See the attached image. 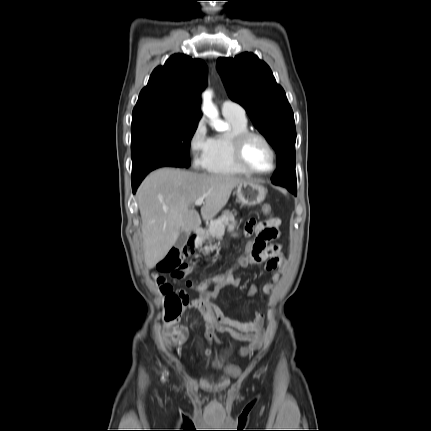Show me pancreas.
Segmentation results:
<instances>
[{"instance_id":"obj_1","label":"pancreas","mask_w":431,"mask_h":431,"mask_svg":"<svg viewBox=\"0 0 431 431\" xmlns=\"http://www.w3.org/2000/svg\"><path fill=\"white\" fill-rule=\"evenodd\" d=\"M233 219V215L229 213L228 210L224 211L218 219L210 223L208 233L217 238H222L225 232V226ZM211 249L212 247L206 246L204 247V252L207 254Z\"/></svg>"}]
</instances>
